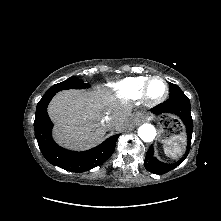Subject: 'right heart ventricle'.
I'll use <instances>...</instances> for the list:
<instances>
[{
	"instance_id": "e07e8e85",
	"label": "right heart ventricle",
	"mask_w": 221,
	"mask_h": 221,
	"mask_svg": "<svg viewBox=\"0 0 221 221\" xmlns=\"http://www.w3.org/2000/svg\"><path fill=\"white\" fill-rule=\"evenodd\" d=\"M149 78L148 76L129 77L110 86L117 98L135 100L141 97L143 88Z\"/></svg>"
}]
</instances>
